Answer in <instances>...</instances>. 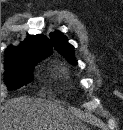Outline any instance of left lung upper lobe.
Wrapping results in <instances>:
<instances>
[{
	"instance_id": "obj_1",
	"label": "left lung upper lobe",
	"mask_w": 123,
	"mask_h": 130,
	"mask_svg": "<svg viewBox=\"0 0 123 130\" xmlns=\"http://www.w3.org/2000/svg\"><path fill=\"white\" fill-rule=\"evenodd\" d=\"M50 36L57 51L72 65H76L77 61L74 56V47L67 42L66 36L59 31L51 33Z\"/></svg>"
}]
</instances>
